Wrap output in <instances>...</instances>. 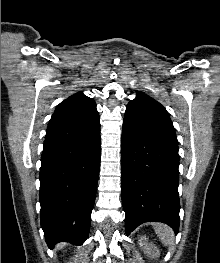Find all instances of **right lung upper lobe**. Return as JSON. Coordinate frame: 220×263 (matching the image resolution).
<instances>
[{
    "mask_svg": "<svg viewBox=\"0 0 220 263\" xmlns=\"http://www.w3.org/2000/svg\"><path fill=\"white\" fill-rule=\"evenodd\" d=\"M99 126L95 101L78 92L57 106L46 137L80 138L89 135Z\"/></svg>",
    "mask_w": 220,
    "mask_h": 263,
    "instance_id": "cb5924a9",
    "label": "right lung upper lobe"
}]
</instances>
